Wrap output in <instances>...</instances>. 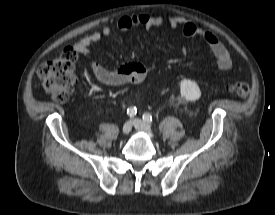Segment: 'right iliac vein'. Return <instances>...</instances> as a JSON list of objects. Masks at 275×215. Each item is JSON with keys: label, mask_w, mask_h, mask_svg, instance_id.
I'll return each mask as SVG.
<instances>
[{"label": "right iliac vein", "mask_w": 275, "mask_h": 215, "mask_svg": "<svg viewBox=\"0 0 275 215\" xmlns=\"http://www.w3.org/2000/svg\"><path fill=\"white\" fill-rule=\"evenodd\" d=\"M131 129H132V122H131V121H127V122L124 124L122 130H123V133H124V134H129L130 131H131Z\"/></svg>", "instance_id": "obj_1"}]
</instances>
